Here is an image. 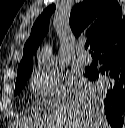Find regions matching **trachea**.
Returning a JSON list of instances; mask_svg holds the SVG:
<instances>
[{
  "label": "trachea",
  "instance_id": "trachea-1",
  "mask_svg": "<svg viewBox=\"0 0 125 128\" xmlns=\"http://www.w3.org/2000/svg\"><path fill=\"white\" fill-rule=\"evenodd\" d=\"M88 47H89V42H86L85 43V49H88Z\"/></svg>",
  "mask_w": 125,
  "mask_h": 128
}]
</instances>
